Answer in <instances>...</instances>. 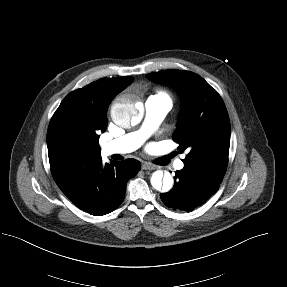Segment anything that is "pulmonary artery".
Instances as JSON below:
<instances>
[{"label":"pulmonary artery","instance_id":"pulmonary-artery-1","mask_svg":"<svg viewBox=\"0 0 287 287\" xmlns=\"http://www.w3.org/2000/svg\"><path fill=\"white\" fill-rule=\"evenodd\" d=\"M171 108L170 98L158 95L150 96L145 102V119L140 129L106 142L102 147L103 153L105 155L125 154L138 149L158 128ZM175 167L182 169L184 163L179 160Z\"/></svg>","mask_w":287,"mask_h":287}]
</instances>
